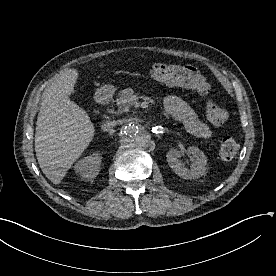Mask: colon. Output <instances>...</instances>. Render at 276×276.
<instances>
[{"label":"colon","mask_w":276,"mask_h":276,"mask_svg":"<svg viewBox=\"0 0 276 276\" xmlns=\"http://www.w3.org/2000/svg\"><path fill=\"white\" fill-rule=\"evenodd\" d=\"M151 76L158 82L169 86H182L189 88L200 95L210 93V84L198 68L187 64H154L150 68ZM206 116L215 126L223 125L228 112L224 106L213 100L206 103ZM239 151L238 142L232 137H225L220 144V156L224 160L233 159Z\"/></svg>","instance_id":"5ec220e1"}]
</instances>
